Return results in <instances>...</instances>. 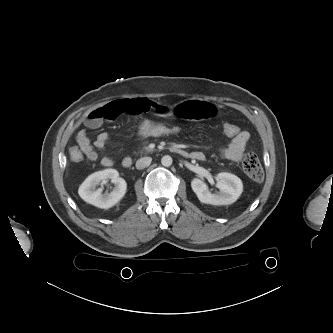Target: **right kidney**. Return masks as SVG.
I'll use <instances>...</instances> for the list:
<instances>
[{
	"label": "right kidney",
	"mask_w": 333,
	"mask_h": 333,
	"mask_svg": "<svg viewBox=\"0 0 333 333\" xmlns=\"http://www.w3.org/2000/svg\"><path fill=\"white\" fill-rule=\"evenodd\" d=\"M107 179L115 184V188L110 193H102V189H95L96 186ZM127 189L126 181L119 177L115 169H105L97 171L88 176L80 185L78 194L87 203L102 209H108L117 204L125 195Z\"/></svg>",
	"instance_id": "1"
}]
</instances>
